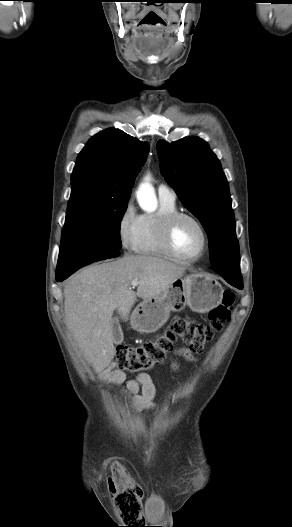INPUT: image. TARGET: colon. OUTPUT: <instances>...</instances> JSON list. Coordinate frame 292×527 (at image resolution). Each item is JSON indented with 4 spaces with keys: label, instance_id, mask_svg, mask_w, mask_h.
Returning <instances> with one entry per match:
<instances>
[{
    "label": "colon",
    "instance_id": "1",
    "mask_svg": "<svg viewBox=\"0 0 292 527\" xmlns=\"http://www.w3.org/2000/svg\"><path fill=\"white\" fill-rule=\"evenodd\" d=\"M235 301V295L230 290H224L221 302L209 313V323L202 324L190 318L176 319L170 328L154 339L147 340L135 347L120 346L117 350L116 364L120 369L137 373L148 371L161 364L174 344L180 340L193 352H202L205 345L213 340L216 333L222 331L230 320V313ZM138 487L123 491L116 497L118 506L136 505L140 512L137 496Z\"/></svg>",
    "mask_w": 292,
    "mask_h": 527
}]
</instances>
